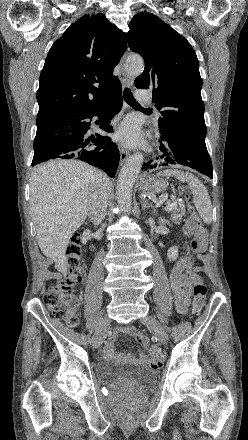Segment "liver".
Instances as JSON below:
<instances>
[{"instance_id": "6515ba94", "label": "liver", "mask_w": 248, "mask_h": 440, "mask_svg": "<svg viewBox=\"0 0 248 440\" xmlns=\"http://www.w3.org/2000/svg\"><path fill=\"white\" fill-rule=\"evenodd\" d=\"M99 174L104 173L77 160H50L31 174L30 210L38 244L61 273H66L65 252L71 236L87 218Z\"/></svg>"}]
</instances>
